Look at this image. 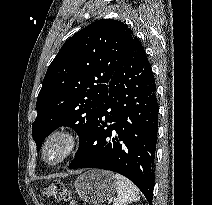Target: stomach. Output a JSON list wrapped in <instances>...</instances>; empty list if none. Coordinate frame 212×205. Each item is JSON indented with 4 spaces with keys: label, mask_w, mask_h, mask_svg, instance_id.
<instances>
[{
    "label": "stomach",
    "mask_w": 212,
    "mask_h": 205,
    "mask_svg": "<svg viewBox=\"0 0 212 205\" xmlns=\"http://www.w3.org/2000/svg\"><path fill=\"white\" fill-rule=\"evenodd\" d=\"M74 188L82 201L100 205L113 196L117 184L112 172L92 169L77 177Z\"/></svg>",
    "instance_id": "0dacf381"
}]
</instances>
